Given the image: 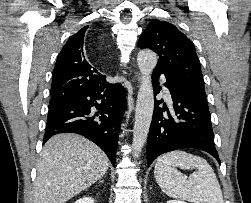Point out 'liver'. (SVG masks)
<instances>
[{
	"instance_id": "liver-1",
	"label": "liver",
	"mask_w": 251,
	"mask_h": 203,
	"mask_svg": "<svg viewBox=\"0 0 251 203\" xmlns=\"http://www.w3.org/2000/svg\"><path fill=\"white\" fill-rule=\"evenodd\" d=\"M108 167L105 153L88 139L55 135L40 154L34 203H65L101 179Z\"/></svg>"
}]
</instances>
